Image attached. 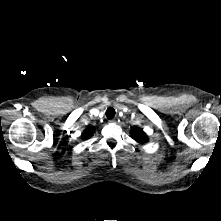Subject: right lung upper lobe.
<instances>
[{"label": "right lung upper lobe", "mask_w": 221, "mask_h": 221, "mask_svg": "<svg viewBox=\"0 0 221 221\" xmlns=\"http://www.w3.org/2000/svg\"><path fill=\"white\" fill-rule=\"evenodd\" d=\"M94 129L93 128H87L83 133H82V137L83 139H88L91 137V135L93 134Z\"/></svg>", "instance_id": "right-lung-upper-lobe-1"}]
</instances>
